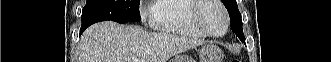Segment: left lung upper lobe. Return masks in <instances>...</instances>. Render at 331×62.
I'll return each mask as SVG.
<instances>
[{
	"instance_id": "left-lung-upper-lobe-1",
	"label": "left lung upper lobe",
	"mask_w": 331,
	"mask_h": 62,
	"mask_svg": "<svg viewBox=\"0 0 331 62\" xmlns=\"http://www.w3.org/2000/svg\"><path fill=\"white\" fill-rule=\"evenodd\" d=\"M221 1L225 5L230 15L231 24L237 26L242 30L241 14L238 10L236 0H221Z\"/></svg>"
}]
</instances>
